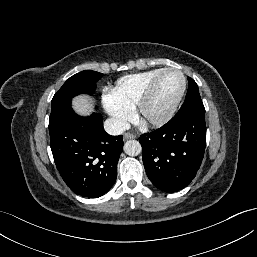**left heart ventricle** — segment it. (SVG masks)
Returning a JSON list of instances; mask_svg holds the SVG:
<instances>
[{
	"mask_svg": "<svg viewBox=\"0 0 257 257\" xmlns=\"http://www.w3.org/2000/svg\"><path fill=\"white\" fill-rule=\"evenodd\" d=\"M182 88V77L179 73H166L147 108V116L155 118L162 115L176 100Z\"/></svg>",
	"mask_w": 257,
	"mask_h": 257,
	"instance_id": "1",
	"label": "left heart ventricle"
}]
</instances>
